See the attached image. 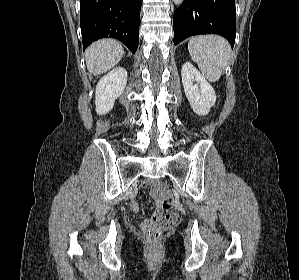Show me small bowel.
<instances>
[{"mask_svg":"<svg viewBox=\"0 0 299 280\" xmlns=\"http://www.w3.org/2000/svg\"><path fill=\"white\" fill-rule=\"evenodd\" d=\"M159 182H155L152 190H151V195L156 199V201L159 203L160 202V198H159V193L161 192L158 186ZM131 207L133 209V211H138V206L136 203L132 202L131 203ZM152 220H144L142 222V225L144 228H147L150 224H151Z\"/></svg>","mask_w":299,"mask_h":280,"instance_id":"obj_1","label":"small bowel"}]
</instances>
